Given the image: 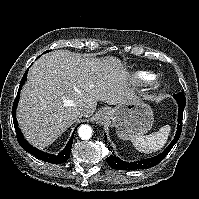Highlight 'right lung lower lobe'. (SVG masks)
Listing matches in <instances>:
<instances>
[{
	"label": "right lung lower lobe",
	"mask_w": 199,
	"mask_h": 199,
	"mask_svg": "<svg viewBox=\"0 0 199 199\" xmlns=\"http://www.w3.org/2000/svg\"><path fill=\"white\" fill-rule=\"evenodd\" d=\"M27 73H28V69L25 72V74L23 75V78L20 82L17 97H16V99L13 103V108H12L13 123H14V127H15V130H16V134H17V140H18L19 144L21 145V147L25 151H27L28 153L37 157L38 159H41L45 162H49V163H53V164L64 163L70 157V151H71V147H72V143H73L74 132L76 131L77 127L75 128L73 135L71 136L70 140L68 141L66 147L58 155L45 153V152L40 151L37 148L33 147L32 145H30L24 139L23 134H22L20 128L18 127V123H17V120H16V108H17V104H18V101H19L20 89L22 88L23 84L27 80Z\"/></svg>",
	"instance_id": "right-lung-lower-lobe-1"
}]
</instances>
